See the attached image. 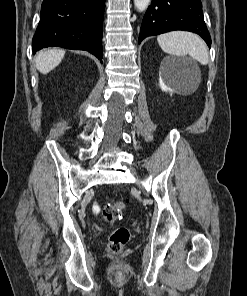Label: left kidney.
<instances>
[{
	"label": "left kidney",
	"instance_id": "left-kidney-1",
	"mask_svg": "<svg viewBox=\"0 0 247 296\" xmlns=\"http://www.w3.org/2000/svg\"><path fill=\"white\" fill-rule=\"evenodd\" d=\"M165 73H160L159 85L162 91L173 93L176 79L188 80L189 76L184 71V64L179 59L166 58L163 61Z\"/></svg>",
	"mask_w": 247,
	"mask_h": 296
}]
</instances>
